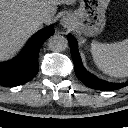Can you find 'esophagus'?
<instances>
[{"instance_id": "34e87169", "label": "esophagus", "mask_w": 128, "mask_h": 128, "mask_svg": "<svg viewBox=\"0 0 128 128\" xmlns=\"http://www.w3.org/2000/svg\"><path fill=\"white\" fill-rule=\"evenodd\" d=\"M60 24L64 27V28H70L72 26V18L69 15H64L61 20H60Z\"/></svg>"}]
</instances>
